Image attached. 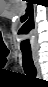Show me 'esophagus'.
Returning a JSON list of instances; mask_svg holds the SVG:
<instances>
[{
  "label": "esophagus",
  "instance_id": "obj_1",
  "mask_svg": "<svg viewBox=\"0 0 48 87\" xmlns=\"http://www.w3.org/2000/svg\"><path fill=\"white\" fill-rule=\"evenodd\" d=\"M32 57H33V61H34V65L36 67L37 73L38 75H40V68H39V63H38V55L36 52L32 53Z\"/></svg>",
  "mask_w": 48,
  "mask_h": 87
}]
</instances>
